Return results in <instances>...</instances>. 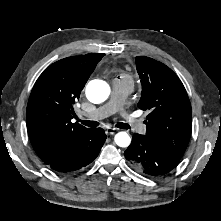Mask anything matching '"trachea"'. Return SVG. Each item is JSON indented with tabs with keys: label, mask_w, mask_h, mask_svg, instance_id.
<instances>
[{
	"label": "trachea",
	"mask_w": 221,
	"mask_h": 221,
	"mask_svg": "<svg viewBox=\"0 0 221 221\" xmlns=\"http://www.w3.org/2000/svg\"><path fill=\"white\" fill-rule=\"evenodd\" d=\"M82 124L88 126V127H97L99 123L97 121H85V120H79ZM120 129H129L130 126L126 123H118L116 125Z\"/></svg>",
	"instance_id": "1"
}]
</instances>
